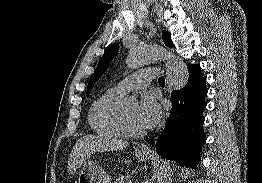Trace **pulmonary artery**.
Wrapping results in <instances>:
<instances>
[{
    "label": "pulmonary artery",
    "instance_id": "e3ab8cb5",
    "mask_svg": "<svg viewBox=\"0 0 262 183\" xmlns=\"http://www.w3.org/2000/svg\"><path fill=\"white\" fill-rule=\"evenodd\" d=\"M157 74L158 71L155 69L136 71L118 82L113 89L121 94H125L133 89L145 88L151 83Z\"/></svg>",
    "mask_w": 262,
    "mask_h": 183
}]
</instances>
